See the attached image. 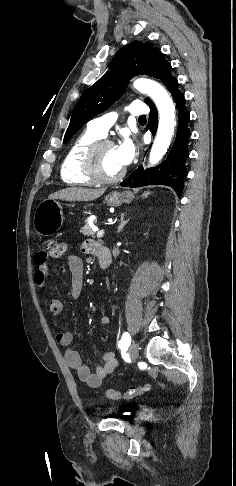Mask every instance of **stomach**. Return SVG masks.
Here are the masks:
<instances>
[{"label":"stomach","mask_w":236,"mask_h":486,"mask_svg":"<svg viewBox=\"0 0 236 486\" xmlns=\"http://www.w3.org/2000/svg\"><path fill=\"white\" fill-rule=\"evenodd\" d=\"M134 195L130 191L112 192L105 197L109 206H120L130 203ZM62 205L55 199H46L36 208L33 217L34 230L41 236H49L56 233L63 224Z\"/></svg>","instance_id":"obj_1"}]
</instances>
